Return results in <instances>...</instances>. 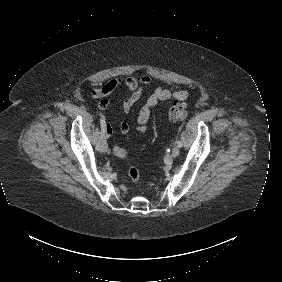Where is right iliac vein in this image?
I'll return each mask as SVG.
<instances>
[{
  "label": "right iliac vein",
  "instance_id": "obj_1",
  "mask_svg": "<svg viewBox=\"0 0 282 282\" xmlns=\"http://www.w3.org/2000/svg\"><path fill=\"white\" fill-rule=\"evenodd\" d=\"M108 150V146L105 140H102L101 145H100V151L105 153Z\"/></svg>",
  "mask_w": 282,
  "mask_h": 282
}]
</instances>
